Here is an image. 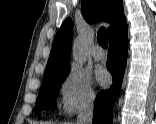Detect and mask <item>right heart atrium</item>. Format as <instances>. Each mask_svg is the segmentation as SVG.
Masks as SVG:
<instances>
[{
    "label": "right heart atrium",
    "instance_id": "obj_1",
    "mask_svg": "<svg viewBox=\"0 0 156 124\" xmlns=\"http://www.w3.org/2000/svg\"><path fill=\"white\" fill-rule=\"evenodd\" d=\"M59 95L61 110L67 116L92 107L96 99L92 79L77 68L70 69L63 77Z\"/></svg>",
    "mask_w": 156,
    "mask_h": 124
}]
</instances>
